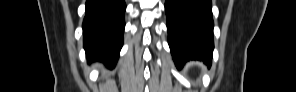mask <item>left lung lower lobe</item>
I'll use <instances>...</instances> for the list:
<instances>
[{"label": "left lung lower lobe", "mask_w": 296, "mask_h": 92, "mask_svg": "<svg viewBox=\"0 0 296 92\" xmlns=\"http://www.w3.org/2000/svg\"><path fill=\"white\" fill-rule=\"evenodd\" d=\"M168 42L174 62L181 68L190 59L211 65L213 18L211 0H166Z\"/></svg>", "instance_id": "obj_1"}]
</instances>
